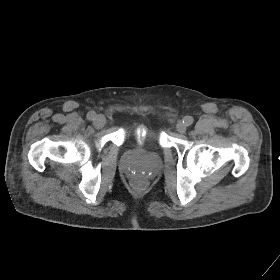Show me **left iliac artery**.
<instances>
[{
    "label": "left iliac artery",
    "instance_id": "left-iliac-artery-1",
    "mask_svg": "<svg viewBox=\"0 0 280 280\" xmlns=\"http://www.w3.org/2000/svg\"><path fill=\"white\" fill-rule=\"evenodd\" d=\"M193 118L191 117V116H185L184 118H183V122L187 125V126H189V125H191L192 123H193Z\"/></svg>",
    "mask_w": 280,
    "mask_h": 280
}]
</instances>
